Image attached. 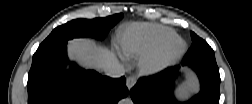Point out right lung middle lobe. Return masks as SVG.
Instances as JSON below:
<instances>
[{"mask_svg": "<svg viewBox=\"0 0 252 104\" xmlns=\"http://www.w3.org/2000/svg\"><path fill=\"white\" fill-rule=\"evenodd\" d=\"M123 17L115 14L105 18L76 19L55 28L39 45L38 49L67 42L73 38L92 37L99 40L105 38L109 30Z\"/></svg>", "mask_w": 252, "mask_h": 104, "instance_id": "1", "label": "right lung middle lobe"}]
</instances>
